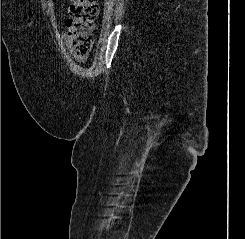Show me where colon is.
<instances>
[{
	"mask_svg": "<svg viewBox=\"0 0 245 239\" xmlns=\"http://www.w3.org/2000/svg\"><path fill=\"white\" fill-rule=\"evenodd\" d=\"M66 40L74 56L86 57L92 48L94 24L99 14L95 0H70Z\"/></svg>",
	"mask_w": 245,
	"mask_h": 239,
	"instance_id": "obj_1",
	"label": "colon"
}]
</instances>
